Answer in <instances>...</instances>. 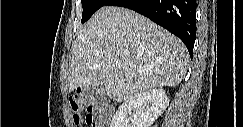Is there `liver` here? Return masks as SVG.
<instances>
[{
    "instance_id": "obj_1",
    "label": "liver",
    "mask_w": 243,
    "mask_h": 127,
    "mask_svg": "<svg viewBox=\"0 0 243 127\" xmlns=\"http://www.w3.org/2000/svg\"><path fill=\"white\" fill-rule=\"evenodd\" d=\"M187 65V49L176 36L132 10L104 6L72 45L68 88L101 87L102 94L122 102L150 89L177 86Z\"/></svg>"
}]
</instances>
